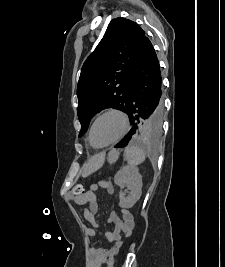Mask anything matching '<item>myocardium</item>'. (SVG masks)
Wrapping results in <instances>:
<instances>
[{
	"label": "myocardium",
	"mask_w": 225,
	"mask_h": 267,
	"mask_svg": "<svg viewBox=\"0 0 225 267\" xmlns=\"http://www.w3.org/2000/svg\"><path fill=\"white\" fill-rule=\"evenodd\" d=\"M107 114H116L122 119V122H123L122 130H121L120 134L114 140H112L106 144H103V145H95L92 141V131H93L94 125L101 117H103ZM129 127H130V120H129L127 113L124 110H122L120 108H114V107L108 108V109L102 111L101 113H99L92 121L90 128H89V132H88L89 144L94 149H103V148L109 147L111 145H114V144L120 142L125 137V135L127 134L128 130H129Z\"/></svg>",
	"instance_id": "myocardium-1"
}]
</instances>
